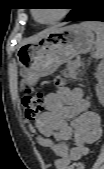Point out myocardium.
<instances>
[{
    "label": "myocardium",
    "mask_w": 104,
    "mask_h": 169,
    "mask_svg": "<svg viewBox=\"0 0 104 169\" xmlns=\"http://www.w3.org/2000/svg\"><path fill=\"white\" fill-rule=\"evenodd\" d=\"M65 14H66L65 10H60L59 13L53 19L48 20V21H40L36 17V13L33 12V16H34L35 20L38 21L41 24H52V23H55V22L61 20L62 18H64Z\"/></svg>",
    "instance_id": "f54148a6"
}]
</instances>
